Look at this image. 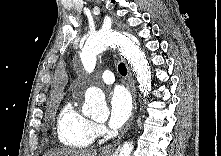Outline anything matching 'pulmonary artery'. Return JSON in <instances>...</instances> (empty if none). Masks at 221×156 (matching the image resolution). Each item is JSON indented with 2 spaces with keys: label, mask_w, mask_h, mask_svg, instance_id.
I'll list each match as a JSON object with an SVG mask.
<instances>
[{
  "label": "pulmonary artery",
  "mask_w": 221,
  "mask_h": 156,
  "mask_svg": "<svg viewBox=\"0 0 221 156\" xmlns=\"http://www.w3.org/2000/svg\"><path fill=\"white\" fill-rule=\"evenodd\" d=\"M101 80L106 84H112L115 81V77L111 71L106 70L102 73Z\"/></svg>",
  "instance_id": "e3ab8cb5"
}]
</instances>
